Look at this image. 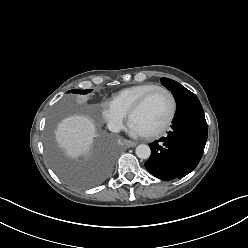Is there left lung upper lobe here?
Here are the masks:
<instances>
[{"label": "left lung upper lobe", "mask_w": 248, "mask_h": 248, "mask_svg": "<svg viewBox=\"0 0 248 248\" xmlns=\"http://www.w3.org/2000/svg\"><path fill=\"white\" fill-rule=\"evenodd\" d=\"M161 83L172 92L176 102L183 100L190 93L184 86L169 78H161Z\"/></svg>", "instance_id": "1"}]
</instances>
